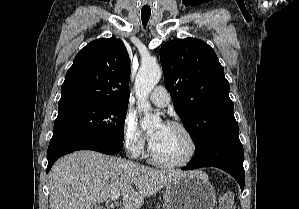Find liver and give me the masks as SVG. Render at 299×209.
<instances>
[{"label": "liver", "mask_w": 299, "mask_h": 209, "mask_svg": "<svg viewBox=\"0 0 299 209\" xmlns=\"http://www.w3.org/2000/svg\"><path fill=\"white\" fill-rule=\"evenodd\" d=\"M188 173L77 151L59 159L49 172L50 209H91L116 192L125 209H140L146 197Z\"/></svg>", "instance_id": "1"}]
</instances>
